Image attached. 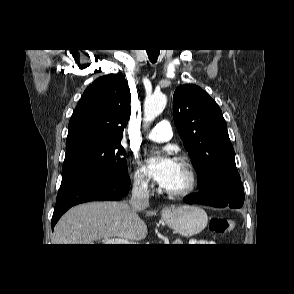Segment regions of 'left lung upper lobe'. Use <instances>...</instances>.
Instances as JSON below:
<instances>
[{
  "label": "left lung upper lobe",
  "mask_w": 294,
  "mask_h": 294,
  "mask_svg": "<svg viewBox=\"0 0 294 294\" xmlns=\"http://www.w3.org/2000/svg\"><path fill=\"white\" fill-rule=\"evenodd\" d=\"M174 122L204 195L225 183L241 182L222 111L200 87L184 84L173 95Z\"/></svg>",
  "instance_id": "left-lung-upper-lobe-1"
}]
</instances>
